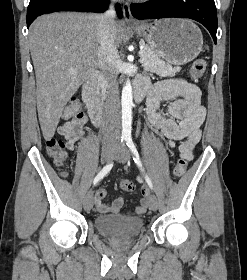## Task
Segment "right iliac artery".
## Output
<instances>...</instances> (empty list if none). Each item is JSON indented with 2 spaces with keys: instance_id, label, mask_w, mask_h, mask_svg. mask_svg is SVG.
Listing matches in <instances>:
<instances>
[{
  "instance_id": "82829eb1",
  "label": "right iliac artery",
  "mask_w": 247,
  "mask_h": 280,
  "mask_svg": "<svg viewBox=\"0 0 247 280\" xmlns=\"http://www.w3.org/2000/svg\"><path fill=\"white\" fill-rule=\"evenodd\" d=\"M124 140H125V138L122 137L121 143H123ZM112 167H113V162H111V163L107 164L105 167H103V169L94 178L93 185L96 186L98 184V182L109 173V171L112 169Z\"/></svg>"
}]
</instances>
